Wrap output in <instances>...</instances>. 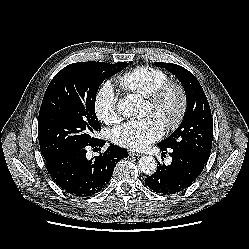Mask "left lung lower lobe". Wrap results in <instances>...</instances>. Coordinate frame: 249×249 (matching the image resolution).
<instances>
[{
    "label": "left lung lower lobe",
    "mask_w": 249,
    "mask_h": 249,
    "mask_svg": "<svg viewBox=\"0 0 249 249\" xmlns=\"http://www.w3.org/2000/svg\"><path fill=\"white\" fill-rule=\"evenodd\" d=\"M159 147L163 153L170 151L172 163L168 166L159 163L156 172L145 179L146 185L156 193L167 195L185 190L200 175L205 162L189 152Z\"/></svg>",
    "instance_id": "0a47b994"
}]
</instances>
